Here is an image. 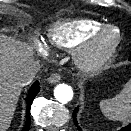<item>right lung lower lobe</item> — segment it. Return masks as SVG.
<instances>
[{"instance_id":"right-lung-lower-lobe-1","label":"right lung lower lobe","mask_w":131,"mask_h":131,"mask_svg":"<svg viewBox=\"0 0 131 131\" xmlns=\"http://www.w3.org/2000/svg\"><path fill=\"white\" fill-rule=\"evenodd\" d=\"M40 90L39 82L36 81L29 90V99L27 101L26 107V124L22 131H28L30 128V108L32 101L34 100L35 96L38 94Z\"/></svg>"}]
</instances>
